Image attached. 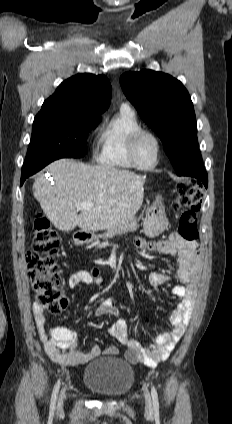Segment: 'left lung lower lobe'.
I'll return each instance as SVG.
<instances>
[{"instance_id":"0a47b994","label":"left lung lower lobe","mask_w":232,"mask_h":424,"mask_svg":"<svg viewBox=\"0 0 232 424\" xmlns=\"http://www.w3.org/2000/svg\"><path fill=\"white\" fill-rule=\"evenodd\" d=\"M179 176H191L198 180V183L202 186V184L207 188L208 185V176L207 172L204 168L203 161L198 160L193 163L189 167H187L184 171L181 172Z\"/></svg>"}]
</instances>
